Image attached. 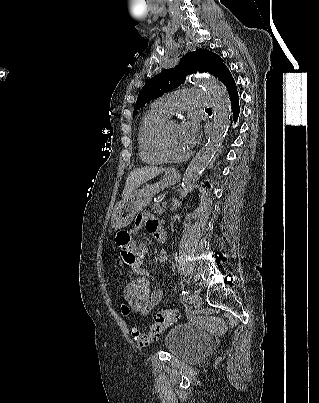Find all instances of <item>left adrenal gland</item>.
I'll return each instance as SVG.
<instances>
[{
  "label": "left adrenal gland",
  "instance_id": "obj_1",
  "mask_svg": "<svg viewBox=\"0 0 319 403\" xmlns=\"http://www.w3.org/2000/svg\"><path fill=\"white\" fill-rule=\"evenodd\" d=\"M179 206H181V202H179L177 199L173 198L171 211H175Z\"/></svg>",
  "mask_w": 319,
  "mask_h": 403
}]
</instances>
